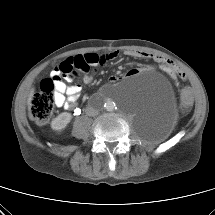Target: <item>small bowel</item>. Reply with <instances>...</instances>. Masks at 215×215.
<instances>
[{"instance_id": "obj_1", "label": "small bowel", "mask_w": 215, "mask_h": 215, "mask_svg": "<svg viewBox=\"0 0 215 215\" xmlns=\"http://www.w3.org/2000/svg\"><path fill=\"white\" fill-rule=\"evenodd\" d=\"M127 56L133 58H152L153 60L163 64L164 66L167 65L165 59L151 55L146 52L135 51V50H128L125 52ZM119 53L117 51H111L106 54H97V53H86L83 55H78L75 57L68 58L67 60L78 64V61L81 62V67L77 65V75L82 73L83 82L85 84H89L93 81V73L92 70L98 66L105 64L108 61L114 60L118 57ZM56 68V67H55ZM55 68L51 72V75L56 74ZM135 71H131L129 75L135 74ZM76 75V76H77ZM74 77H65L68 82H71ZM110 82H117L119 77L111 76ZM82 87L79 84H72L67 85L62 81V78L55 81V103L58 107H63L65 109H74L78 98L81 94Z\"/></svg>"}]
</instances>
